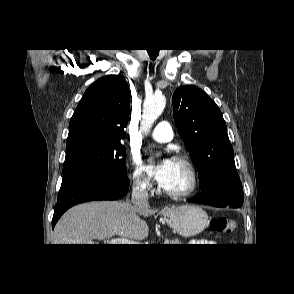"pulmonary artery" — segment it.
<instances>
[{
  "label": "pulmonary artery",
  "mask_w": 294,
  "mask_h": 294,
  "mask_svg": "<svg viewBox=\"0 0 294 294\" xmlns=\"http://www.w3.org/2000/svg\"><path fill=\"white\" fill-rule=\"evenodd\" d=\"M151 136L157 142L164 143L171 141L173 138V132L170 124L166 121L158 123Z\"/></svg>",
  "instance_id": "obj_1"
}]
</instances>
